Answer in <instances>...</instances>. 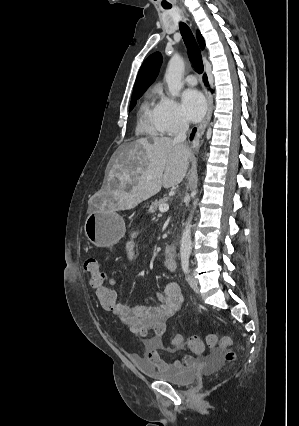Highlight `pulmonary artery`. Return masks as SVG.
Returning a JSON list of instances; mask_svg holds the SVG:
<instances>
[{"label":"pulmonary artery","mask_w":299,"mask_h":426,"mask_svg":"<svg viewBox=\"0 0 299 426\" xmlns=\"http://www.w3.org/2000/svg\"><path fill=\"white\" fill-rule=\"evenodd\" d=\"M185 81H186V83H187L188 85H190V86H194V85H196V84H197L196 76H195V75H193V74H189V75H187V76H186V78H185Z\"/></svg>","instance_id":"pulmonary-artery-1"}]
</instances>
